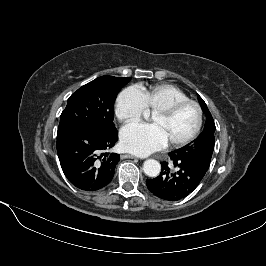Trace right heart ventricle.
Here are the masks:
<instances>
[{
  "label": "right heart ventricle",
  "instance_id": "right-heart-ventricle-1",
  "mask_svg": "<svg viewBox=\"0 0 266 266\" xmlns=\"http://www.w3.org/2000/svg\"><path fill=\"white\" fill-rule=\"evenodd\" d=\"M146 109L154 113L173 103L188 100L187 95L179 88L169 84H159L140 89Z\"/></svg>",
  "mask_w": 266,
  "mask_h": 266
}]
</instances>
